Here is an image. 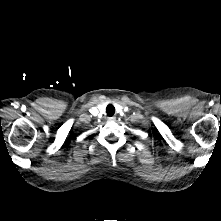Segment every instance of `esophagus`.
Listing matches in <instances>:
<instances>
[{"mask_svg": "<svg viewBox=\"0 0 221 221\" xmlns=\"http://www.w3.org/2000/svg\"><path fill=\"white\" fill-rule=\"evenodd\" d=\"M108 120H109V121H115L116 118H115L114 116H111V117H108Z\"/></svg>", "mask_w": 221, "mask_h": 221, "instance_id": "34e87169", "label": "esophagus"}]
</instances>
